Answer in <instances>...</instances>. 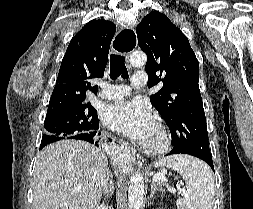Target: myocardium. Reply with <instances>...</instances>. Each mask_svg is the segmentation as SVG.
<instances>
[{
  "label": "myocardium",
  "mask_w": 253,
  "mask_h": 209,
  "mask_svg": "<svg viewBox=\"0 0 253 209\" xmlns=\"http://www.w3.org/2000/svg\"><path fill=\"white\" fill-rule=\"evenodd\" d=\"M155 125L158 128L159 133H160L159 142L156 144H149L143 141L140 145L141 149L144 152L151 155H158L165 152L166 150H168L171 144V135L166 124L162 120L156 119Z\"/></svg>",
  "instance_id": "1"
}]
</instances>
